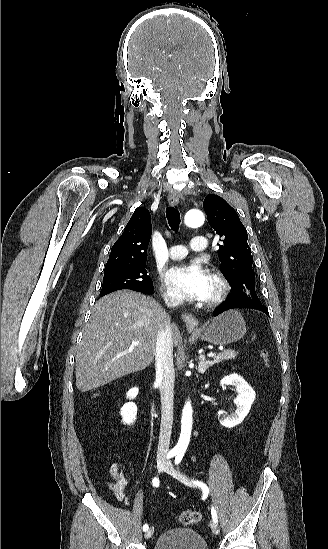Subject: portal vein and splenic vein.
<instances>
[{"mask_svg": "<svg viewBox=\"0 0 328 549\" xmlns=\"http://www.w3.org/2000/svg\"><path fill=\"white\" fill-rule=\"evenodd\" d=\"M137 345H138V341H132L131 347H137ZM211 356L215 357V353H209L208 359H211Z\"/></svg>", "mask_w": 328, "mask_h": 549, "instance_id": "1", "label": "portal vein and splenic vein"}]
</instances>
